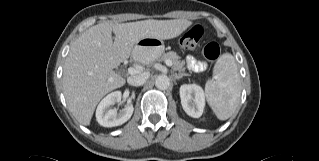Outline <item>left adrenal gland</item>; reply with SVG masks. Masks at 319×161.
I'll return each instance as SVG.
<instances>
[{
	"label": "left adrenal gland",
	"instance_id": "a2214340",
	"mask_svg": "<svg viewBox=\"0 0 319 161\" xmlns=\"http://www.w3.org/2000/svg\"><path fill=\"white\" fill-rule=\"evenodd\" d=\"M183 76H188V74H186V73H181V74L175 73L174 74V78L177 80L181 79Z\"/></svg>",
	"mask_w": 319,
	"mask_h": 161
}]
</instances>
